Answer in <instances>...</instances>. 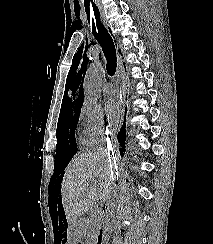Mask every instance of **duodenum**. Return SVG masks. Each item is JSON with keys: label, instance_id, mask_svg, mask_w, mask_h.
Listing matches in <instances>:
<instances>
[{"label": "duodenum", "instance_id": "duodenum-1", "mask_svg": "<svg viewBox=\"0 0 213 244\" xmlns=\"http://www.w3.org/2000/svg\"><path fill=\"white\" fill-rule=\"evenodd\" d=\"M102 217H103V219L104 220H106L107 219V217H108V209L107 208H104L103 210H102ZM104 235H105V231H104V229L102 228L99 232H98V236H97V244H104V242H103V237H104Z\"/></svg>", "mask_w": 213, "mask_h": 244}]
</instances>
